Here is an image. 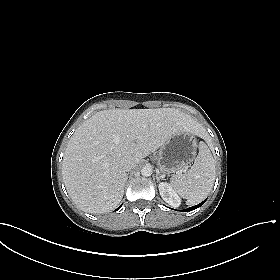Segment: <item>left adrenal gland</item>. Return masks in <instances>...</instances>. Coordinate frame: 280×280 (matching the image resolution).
<instances>
[{"label":"left adrenal gland","mask_w":280,"mask_h":280,"mask_svg":"<svg viewBox=\"0 0 280 280\" xmlns=\"http://www.w3.org/2000/svg\"><path fill=\"white\" fill-rule=\"evenodd\" d=\"M156 179H157V182H159L161 177L158 174H156Z\"/></svg>","instance_id":"left-adrenal-gland-1"}]
</instances>
